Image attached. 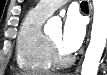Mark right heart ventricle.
Returning <instances> with one entry per match:
<instances>
[{"label":"right heart ventricle","instance_id":"1","mask_svg":"<svg viewBox=\"0 0 107 75\" xmlns=\"http://www.w3.org/2000/svg\"><path fill=\"white\" fill-rule=\"evenodd\" d=\"M45 19V16L32 10L21 24L16 43V60L23 70L47 72L54 66L47 36L42 31Z\"/></svg>","mask_w":107,"mask_h":75}]
</instances>
